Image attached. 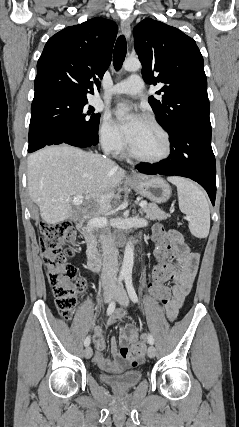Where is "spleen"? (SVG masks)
I'll return each mask as SVG.
<instances>
[{
    "instance_id": "obj_1",
    "label": "spleen",
    "mask_w": 239,
    "mask_h": 427,
    "mask_svg": "<svg viewBox=\"0 0 239 427\" xmlns=\"http://www.w3.org/2000/svg\"><path fill=\"white\" fill-rule=\"evenodd\" d=\"M177 187L179 208L189 219V229L197 238H206L210 229L208 200L202 189L194 182L182 177H169Z\"/></svg>"
}]
</instances>
